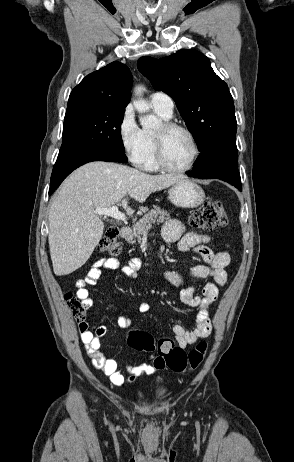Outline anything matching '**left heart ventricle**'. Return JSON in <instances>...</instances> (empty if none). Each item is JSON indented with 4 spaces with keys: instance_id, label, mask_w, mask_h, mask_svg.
Segmentation results:
<instances>
[{
    "instance_id": "b2bd125f",
    "label": "left heart ventricle",
    "mask_w": 294,
    "mask_h": 462,
    "mask_svg": "<svg viewBox=\"0 0 294 462\" xmlns=\"http://www.w3.org/2000/svg\"><path fill=\"white\" fill-rule=\"evenodd\" d=\"M193 151L192 142L185 132L176 130L167 135L165 157L172 167L186 166L192 158Z\"/></svg>"
}]
</instances>
